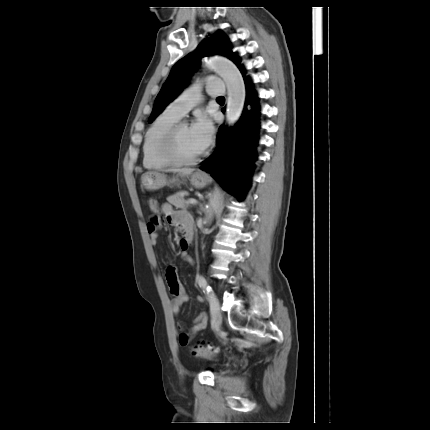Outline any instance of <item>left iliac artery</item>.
<instances>
[{"label": "left iliac artery", "instance_id": "44dca946", "mask_svg": "<svg viewBox=\"0 0 430 430\" xmlns=\"http://www.w3.org/2000/svg\"><path fill=\"white\" fill-rule=\"evenodd\" d=\"M197 282L199 286L203 289V291L207 294L208 301L210 303V308L217 303V298L212 291V288L207 284L206 279L203 276H198Z\"/></svg>", "mask_w": 430, "mask_h": 430}]
</instances>
